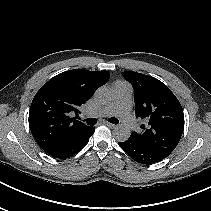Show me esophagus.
<instances>
[{
	"mask_svg": "<svg viewBox=\"0 0 211 211\" xmlns=\"http://www.w3.org/2000/svg\"><path fill=\"white\" fill-rule=\"evenodd\" d=\"M104 124L107 125V126L110 127V128H115V127H116V125H114V124H112V123H109V122H107V121H105Z\"/></svg>",
	"mask_w": 211,
	"mask_h": 211,
	"instance_id": "esophagus-1",
	"label": "esophagus"
}]
</instances>
